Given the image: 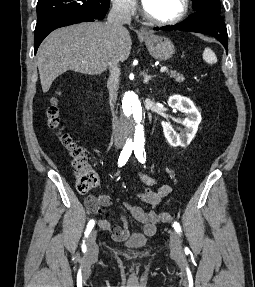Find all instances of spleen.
Returning a JSON list of instances; mask_svg holds the SVG:
<instances>
[{"mask_svg": "<svg viewBox=\"0 0 255 287\" xmlns=\"http://www.w3.org/2000/svg\"><path fill=\"white\" fill-rule=\"evenodd\" d=\"M203 58L207 64H216L217 62V58L210 48H206V50H204Z\"/></svg>", "mask_w": 255, "mask_h": 287, "instance_id": "obj_1", "label": "spleen"}]
</instances>
